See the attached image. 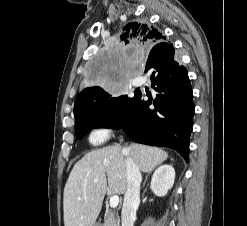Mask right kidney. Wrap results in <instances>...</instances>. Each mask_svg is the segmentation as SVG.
Returning <instances> with one entry per match:
<instances>
[{"label": "right kidney", "instance_id": "right-kidney-1", "mask_svg": "<svg viewBox=\"0 0 247 226\" xmlns=\"http://www.w3.org/2000/svg\"><path fill=\"white\" fill-rule=\"evenodd\" d=\"M174 180V168L171 165H162L154 172L150 188L155 195L163 197L173 187Z\"/></svg>", "mask_w": 247, "mask_h": 226}]
</instances>
